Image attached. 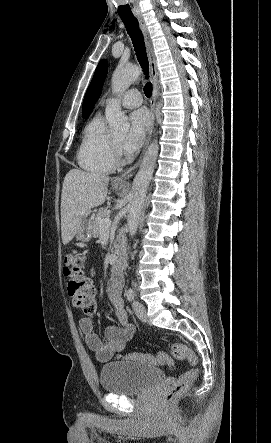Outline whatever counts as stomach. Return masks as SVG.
Returning <instances> with one entry per match:
<instances>
[{
  "label": "stomach",
  "instance_id": "1",
  "mask_svg": "<svg viewBox=\"0 0 271 443\" xmlns=\"http://www.w3.org/2000/svg\"><path fill=\"white\" fill-rule=\"evenodd\" d=\"M112 188H114V186H112ZM114 190L118 192V190H122V188H114ZM91 222L92 220L89 218L88 214L82 218L79 229L76 233L77 239H80V241H90L93 235V225Z\"/></svg>",
  "mask_w": 271,
  "mask_h": 443
}]
</instances>
